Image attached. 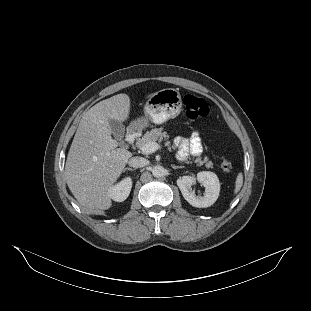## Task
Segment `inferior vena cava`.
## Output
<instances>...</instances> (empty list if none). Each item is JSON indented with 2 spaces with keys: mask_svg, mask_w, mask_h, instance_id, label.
<instances>
[{
  "mask_svg": "<svg viewBox=\"0 0 311 311\" xmlns=\"http://www.w3.org/2000/svg\"><path fill=\"white\" fill-rule=\"evenodd\" d=\"M148 160L144 157L134 156L128 160V165L133 168H142L148 165Z\"/></svg>",
  "mask_w": 311,
  "mask_h": 311,
  "instance_id": "inferior-vena-cava-1",
  "label": "inferior vena cava"
}]
</instances>
